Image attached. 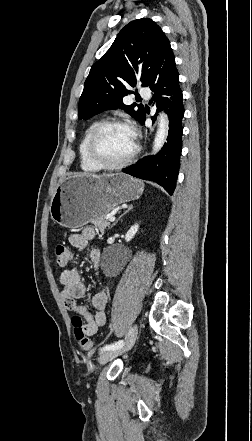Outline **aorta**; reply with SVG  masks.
Wrapping results in <instances>:
<instances>
[{"label": "aorta", "instance_id": "obj_1", "mask_svg": "<svg viewBox=\"0 0 252 441\" xmlns=\"http://www.w3.org/2000/svg\"><path fill=\"white\" fill-rule=\"evenodd\" d=\"M158 120V129L153 142V154L157 153L162 148L169 130V120L164 112L160 113Z\"/></svg>", "mask_w": 252, "mask_h": 441}]
</instances>
